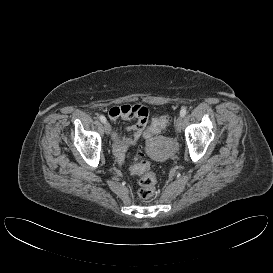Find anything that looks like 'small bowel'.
<instances>
[{
  "instance_id": "1",
  "label": "small bowel",
  "mask_w": 273,
  "mask_h": 273,
  "mask_svg": "<svg viewBox=\"0 0 273 273\" xmlns=\"http://www.w3.org/2000/svg\"><path fill=\"white\" fill-rule=\"evenodd\" d=\"M108 114L113 121L120 119L136 120L133 125L126 128V131L129 133L128 135H123L118 131L113 133L114 155L119 162H123L126 158L128 148L138 143L142 137H145L144 129L148 121L149 111L144 105L125 104L111 107Z\"/></svg>"
}]
</instances>
